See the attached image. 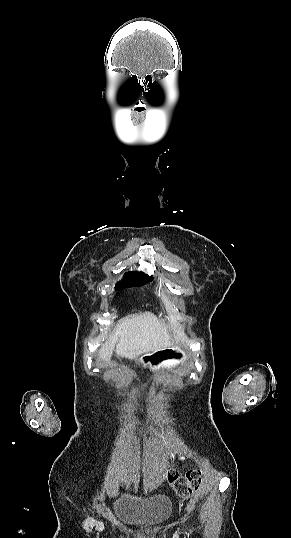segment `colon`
Segmentation results:
<instances>
[{"mask_svg":"<svg viewBox=\"0 0 291 538\" xmlns=\"http://www.w3.org/2000/svg\"><path fill=\"white\" fill-rule=\"evenodd\" d=\"M167 478L172 488L181 497L190 496L201 483V475L197 471H190L186 475L171 471L167 474Z\"/></svg>","mask_w":291,"mask_h":538,"instance_id":"1","label":"colon"}]
</instances>
